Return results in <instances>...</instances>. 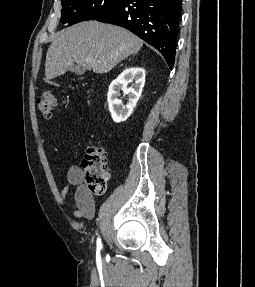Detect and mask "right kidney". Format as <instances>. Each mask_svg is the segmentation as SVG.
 Masks as SVG:
<instances>
[{
  "mask_svg": "<svg viewBox=\"0 0 255 287\" xmlns=\"http://www.w3.org/2000/svg\"><path fill=\"white\" fill-rule=\"evenodd\" d=\"M128 84H131L130 88H127ZM144 84L145 70L143 68H126L116 80L111 82L107 94V102L114 122L119 124V122H125L129 118L137 100H139V96H141ZM120 90H123V94L125 96L127 94L129 98L126 106H122V102L119 100Z\"/></svg>",
  "mask_w": 255,
  "mask_h": 287,
  "instance_id": "ca27d5eb",
  "label": "right kidney"
}]
</instances>
